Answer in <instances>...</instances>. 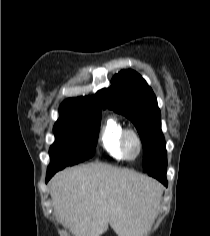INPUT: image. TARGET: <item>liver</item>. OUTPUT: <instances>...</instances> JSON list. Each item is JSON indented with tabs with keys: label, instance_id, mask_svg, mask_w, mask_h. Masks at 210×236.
<instances>
[{
	"label": "liver",
	"instance_id": "obj_1",
	"mask_svg": "<svg viewBox=\"0 0 210 236\" xmlns=\"http://www.w3.org/2000/svg\"><path fill=\"white\" fill-rule=\"evenodd\" d=\"M56 214L75 236H146L162 186L139 173L101 163L59 172L50 184Z\"/></svg>",
	"mask_w": 210,
	"mask_h": 236
}]
</instances>
